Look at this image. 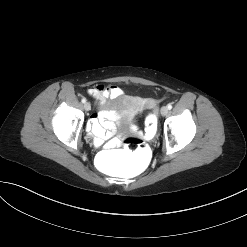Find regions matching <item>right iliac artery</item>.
I'll list each match as a JSON object with an SVG mask.
<instances>
[{
  "instance_id": "right-iliac-artery-1",
  "label": "right iliac artery",
  "mask_w": 247,
  "mask_h": 247,
  "mask_svg": "<svg viewBox=\"0 0 247 247\" xmlns=\"http://www.w3.org/2000/svg\"><path fill=\"white\" fill-rule=\"evenodd\" d=\"M81 101H82V103H86V99L85 98H83Z\"/></svg>"
}]
</instances>
